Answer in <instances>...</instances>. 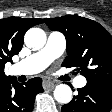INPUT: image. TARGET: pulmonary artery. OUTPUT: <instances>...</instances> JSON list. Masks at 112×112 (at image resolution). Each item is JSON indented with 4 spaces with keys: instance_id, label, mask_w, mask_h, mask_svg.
Returning a JSON list of instances; mask_svg holds the SVG:
<instances>
[{
    "instance_id": "e3ab8cb5",
    "label": "pulmonary artery",
    "mask_w": 112,
    "mask_h": 112,
    "mask_svg": "<svg viewBox=\"0 0 112 112\" xmlns=\"http://www.w3.org/2000/svg\"><path fill=\"white\" fill-rule=\"evenodd\" d=\"M65 46V38L61 33H49L45 46L13 65L12 73L15 75H33L43 71L53 60L63 54ZM86 83L87 80L84 76H78L74 81L76 87H84Z\"/></svg>"
}]
</instances>
